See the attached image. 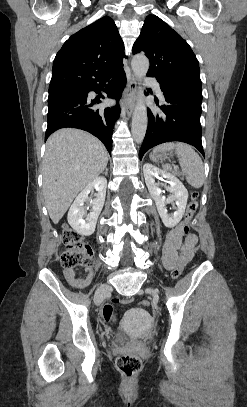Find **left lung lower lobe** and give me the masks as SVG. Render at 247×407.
Wrapping results in <instances>:
<instances>
[{
	"label": "left lung lower lobe",
	"instance_id": "0a47b994",
	"mask_svg": "<svg viewBox=\"0 0 247 407\" xmlns=\"http://www.w3.org/2000/svg\"><path fill=\"white\" fill-rule=\"evenodd\" d=\"M166 104L159 106V112H148V127L139 151V158L150 148L169 141H180L196 147L205 157L202 147L200 124L201 89L159 82ZM158 104V100H155Z\"/></svg>",
	"mask_w": 247,
	"mask_h": 407
}]
</instances>
